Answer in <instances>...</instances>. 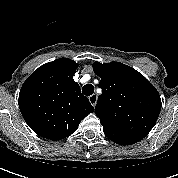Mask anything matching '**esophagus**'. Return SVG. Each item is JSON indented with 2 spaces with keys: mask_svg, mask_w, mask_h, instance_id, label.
Here are the masks:
<instances>
[{
  "mask_svg": "<svg viewBox=\"0 0 178 178\" xmlns=\"http://www.w3.org/2000/svg\"><path fill=\"white\" fill-rule=\"evenodd\" d=\"M89 102L92 104V106H96L97 104V95L93 94L91 96H89Z\"/></svg>",
  "mask_w": 178,
  "mask_h": 178,
  "instance_id": "1",
  "label": "esophagus"
}]
</instances>
